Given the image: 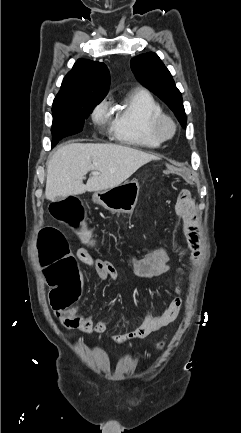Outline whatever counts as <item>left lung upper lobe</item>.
<instances>
[{"instance_id":"left-lung-upper-lobe-1","label":"left lung upper lobe","mask_w":241,"mask_h":433,"mask_svg":"<svg viewBox=\"0 0 241 433\" xmlns=\"http://www.w3.org/2000/svg\"><path fill=\"white\" fill-rule=\"evenodd\" d=\"M131 69L139 82L144 84L175 113L183 128H186V114L180 91L172 75L154 52L138 55L130 61Z\"/></svg>"}]
</instances>
